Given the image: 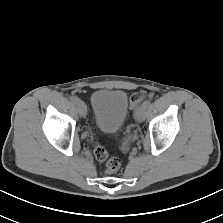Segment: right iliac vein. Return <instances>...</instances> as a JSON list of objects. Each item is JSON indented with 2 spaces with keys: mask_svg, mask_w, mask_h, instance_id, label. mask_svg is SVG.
<instances>
[{
  "mask_svg": "<svg viewBox=\"0 0 223 223\" xmlns=\"http://www.w3.org/2000/svg\"><path fill=\"white\" fill-rule=\"evenodd\" d=\"M76 105H77L79 114H80L82 117H85L86 114H87V108H86L85 103H84L83 101H81V100H78V101L76 102Z\"/></svg>",
  "mask_w": 223,
  "mask_h": 223,
  "instance_id": "1",
  "label": "right iliac vein"
}]
</instances>
